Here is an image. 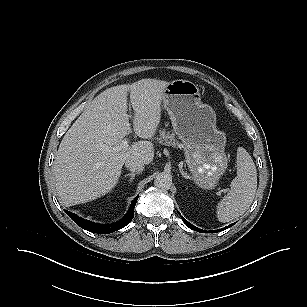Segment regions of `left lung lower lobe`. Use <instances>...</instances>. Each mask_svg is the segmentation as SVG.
<instances>
[{
    "instance_id": "left-lung-lower-lobe-1",
    "label": "left lung lower lobe",
    "mask_w": 307,
    "mask_h": 307,
    "mask_svg": "<svg viewBox=\"0 0 307 307\" xmlns=\"http://www.w3.org/2000/svg\"><path fill=\"white\" fill-rule=\"evenodd\" d=\"M181 218H182L183 222H184L189 228H191V229L194 230V231L201 232V233H203V232H204V233H216V232H220V231H223V230H225V229L228 228V226H226V227L221 228V229H218V230L205 231V230H202V229H199V228L195 227L194 225H192L191 223H189V222H188L185 218H183L182 216H181ZM234 224H235V223L230 224L229 227H231V226L234 225Z\"/></svg>"
}]
</instances>
